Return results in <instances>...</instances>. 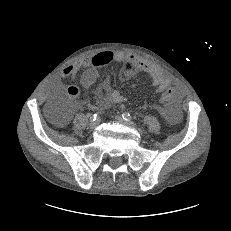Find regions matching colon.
I'll return each mask as SVG.
<instances>
[{"label": "colon", "mask_w": 231, "mask_h": 231, "mask_svg": "<svg viewBox=\"0 0 231 231\" xmlns=\"http://www.w3.org/2000/svg\"><path fill=\"white\" fill-rule=\"evenodd\" d=\"M137 67L134 63L125 60L123 61V71L136 72ZM175 96V91L171 86H166L164 92L160 94L159 99L163 103H168L173 100Z\"/></svg>", "instance_id": "5ec220e1"}]
</instances>
